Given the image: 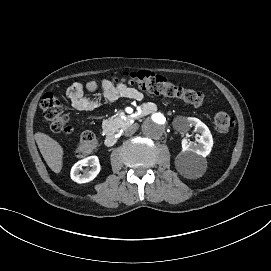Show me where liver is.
Listing matches in <instances>:
<instances>
[{"mask_svg":"<svg viewBox=\"0 0 271 271\" xmlns=\"http://www.w3.org/2000/svg\"><path fill=\"white\" fill-rule=\"evenodd\" d=\"M35 141L47 165L55 173H59L62 167V149L50 137L37 133Z\"/></svg>","mask_w":271,"mask_h":271,"instance_id":"6515ba94","label":"liver"}]
</instances>
